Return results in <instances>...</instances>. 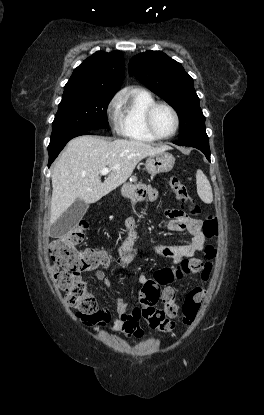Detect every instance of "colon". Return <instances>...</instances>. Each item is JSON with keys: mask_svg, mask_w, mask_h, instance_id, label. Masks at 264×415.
<instances>
[{"mask_svg": "<svg viewBox=\"0 0 264 415\" xmlns=\"http://www.w3.org/2000/svg\"><path fill=\"white\" fill-rule=\"evenodd\" d=\"M168 186L181 204L189 208L192 215L200 214V209L192 204L188 189L176 176L168 178ZM88 228L86 221H80L73 230L53 241L49 248V256L54 281L65 293L66 305L75 309L79 318L96 320L98 314L96 298L87 282L81 277V273L86 269L107 265L111 257L98 249L79 248L86 238ZM202 230L209 241L205 248V261L202 266L200 259L190 258L179 266L157 271L154 278L143 285L139 294L140 316L154 330L169 331L178 322L191 324L204 301L206 289L201 286L195 287L186 295L180 311L175 291L166 290L173 281L198 269L201 270L203 281L210 279L218 253L215 240L219 234V224L215 215L209 214L203 219ZM159 300L164 304L163 309L156 308Z\"/></svg>", "mask_w": 264, "mask_h": 415, "instance_id": "1", "label": "colon"}]
</instances>
